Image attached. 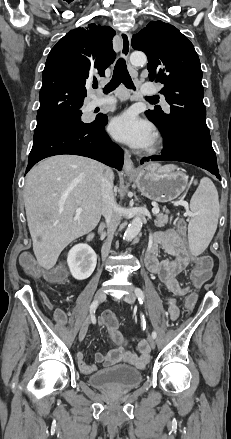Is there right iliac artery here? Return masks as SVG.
<instances>
[{
	"mask_svg": "<svg viewBox=\"0 0 231 439\" xmlns=\"http://www.w3.org/2000/svg\"><path fill=\"white\" fill-rule=\"evenodd\" d=\"M96 306H97V303H96V302H93V303L91 304V306H90V309L95 310Z\"/></svg>",
	"mask_w": 231,
	"mask_h": 439,
	"instance_id": "obj_1",
	"label": "right iliac artery"
}]
</instances>
